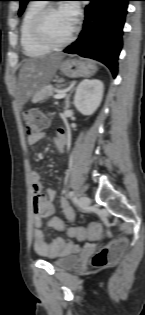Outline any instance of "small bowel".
I'll use <instances>...</instances> for the list:
<instances>
[{"instance_id":"small-bowel-1","label":"small bowel","mask_w":145,"mask_h":315,"mask_svg":"<svg viewBox=\"0 0 145 315\" xmlns=\"http://www.w3.org/2000/svg\"><path fill=\"white\" fill-rule=\"evenodd\" d=\"M43 137L44 132H35L27 137V144L33 146L37 144ZM67 140L68 136L64 129H59L54 138L55 147L59 152H63L65 150ZM30 177L34 210V229L32 232V241L35 252L44 257L59 256L72 252L76 247L75 243L66 241L62 237H56L50 243L46 241L45 235L41 229L44 219H47V226L57 230H63L65 228V223L60 218L53 216L54 207L52 205V201L56 196L55 190L46 189L43 191L39 172L32 171ZM59 207L67 220L71 222L76 220V213L65 197H60Z\"/></svg>"}]
</instances>
